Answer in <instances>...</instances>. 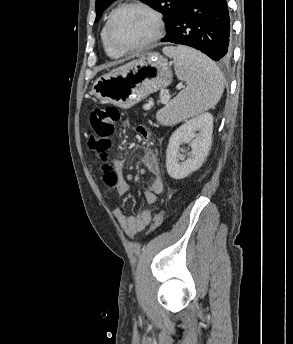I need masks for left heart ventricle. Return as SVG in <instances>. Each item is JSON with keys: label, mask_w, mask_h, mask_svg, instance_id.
<instances>
[{"label": "left heart ventricle", "mask_w": 293, "mask_h": 344, "mask_svg": "<svg viewBox=\"0 0 293 344\" xmlns=\"http://www.w3.org/2000/svg\"><path fill=\"white\" fill-rule=\"evenodd\" d=\"M153 21L148 13L137 8L119 12L112 25L114 42L122 47L144 42L153 32Z\"/></svg>", "instance_id": "left-heart-ventricle-1"}]
</instances>
